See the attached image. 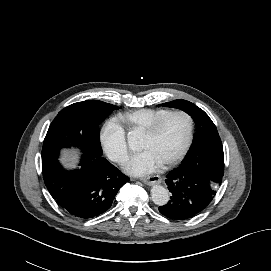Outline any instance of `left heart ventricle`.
<instances>
[{
    "instance_id": "1",
    "label": "left heart ventricle",
    "mask_w": 271,
    "mask_h": 271,
    "mask_svg": "<svg viewBox=\"0 0 271 271\" xmlns=\"http://www.w3.org/2000/svg\"><path fill=\"white\" fill-rule=\"evenodd\" d=\"M189 133V121L186 116L178 114L169 118L153 136H142L139 147L151 152L163 162L175 156L184 146Z\"/></svg>"
}]
</instances>
